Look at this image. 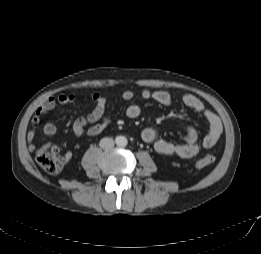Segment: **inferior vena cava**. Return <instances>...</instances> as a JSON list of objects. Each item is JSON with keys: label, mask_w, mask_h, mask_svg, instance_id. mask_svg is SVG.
I'll return each instance as SVG.
<instances>
[{"label": "inferior vena cava", "mask_w": 261, "mask_h": 254, "mask_svg": "<svg viewBox=\"0 0 261 254\" xmlns=\"http://www.w3.org/2000/svg\"><path fill=\"white\" fill-rule=\"evenodd\" d=\"M100 147L103 149H110L114 146V140L112 138H103L99 143Z\"/></svg>", "instance_id": "inferior-vena-cava-1"}]
</instances>
